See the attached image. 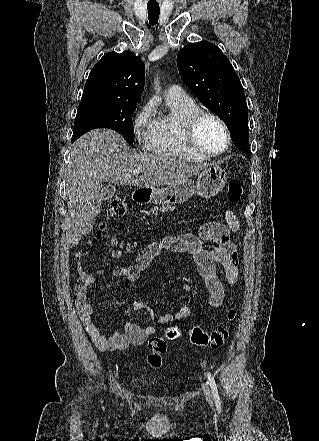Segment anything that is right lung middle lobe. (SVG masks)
<instances>
[{
  "instance_id": "right-lung-middle-lobe-1",
  "label": "right lung middle lobe",
  "mask_w": 319,
  "mask_h": 441,
  "mask_svg": "<svg viewBox=\"0 0 319 441\" xmlns=\"http://www.w3.org/2000/svg\"><path fill=\"white\" fill-rule=\"evenodd\" d=\"M137 104L118 101L81 100L74 123L72 142L95 128L119 132L133 144L134 128L131 116Z\"/></svg>"
}]
</instances>
